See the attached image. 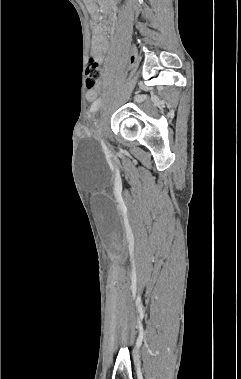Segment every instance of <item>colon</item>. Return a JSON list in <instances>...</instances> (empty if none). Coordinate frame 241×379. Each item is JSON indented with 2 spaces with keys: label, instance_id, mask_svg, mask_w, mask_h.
<instances>
[{
  "label": "colon",
  "instance_id": "obj_1",
  "mask_svg": "<svg viewBox=\"0 0 241 379\" xmlns=\"http://www.w3.org/2000/svg\"><path fill=\"white\" fill-rule=\"evenodd\" d=\"M95 29V27H94ZM94 29H93V34H94ZM138 45H133V46H129V53L127 54V64L128 65H135L136 63H138ZM100 74H101V69H100V66H99V63L97 60H95L94 58H90L89 61H88V65H87V86L89 88H92L95 86L97 80L99 79L100 77ZM96 93L99 95V96H102L103 93H104V88L103 87H97L96 88Z\"/></svg>",
  "mask_w": 241,
  "mask_h": 379
}]
</instances>
